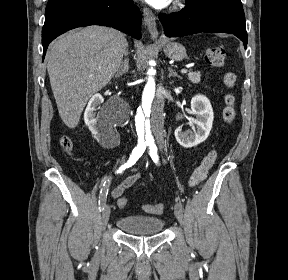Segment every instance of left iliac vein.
I'll return each instance as SVG.
<instances>
[{"mask_svg": "<svg viewBox=\"0 0 288 280\" xmlns=\"http://www.w3.org/2000/svg\"><path fill=\"white\" fill-rule=\"evenodd\" d=\"M180 204L176 203L174 206V214L180 224L183 223V207L179 206Z\"/></svg>", "mask_w": 288, "mask_h": 280, "instance_id": "1", "label": "left iliac vein"}]
</instances>
